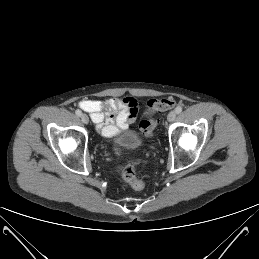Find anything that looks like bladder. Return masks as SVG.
Wrapping results in <instances>:
<instances>
[{
	"label": "bladder",
	"mask_w": 259,
	"mask_h": 259,
	"mask_svg": "<svg viewBox=\"0 0 259 259\" xmlns=\"http://www.w3.org/2000/svg\"><path fill=\"white\" fill-rule=\"evenodd\" d=\"M115 141L119 146L127 149H136L141 145L138 134L133 130H124L115 137Z\"/></svg>",
	"instance_id": "1"
}]
</instances>
